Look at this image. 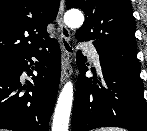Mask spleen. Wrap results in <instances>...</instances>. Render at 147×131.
<instances>
[{
  "mask_svg": "<svg viewBox=\"0 0 147 131\" xmlns=\"http://www.w3.org/2000/svg\"><path fill=\"white\" fill-rule=\"evenodd\" d=\"M99 131H124V130L121 128H117V127H108V128H103Z\"/></svg>",
  "mask_w": 147,
  "mask_h": 131,
  "instance_id": "spleen-1",
  "label": "spleen"
}]
</instances>
